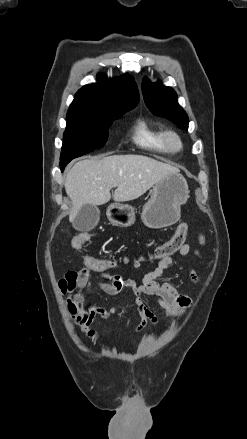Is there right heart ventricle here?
<instances>
[{"label":"right heart ventricle","instance_id":"e07e8e85","mask_svg":"<svg viewBox=\"0 0 247 439\" xmlns=\"http://www.w3.org/2000/svg\"><path fill=\"white\" fill-rule=\"evenodd\" d=\"M164 131L145 118H138L132 129V141L139 147L167 153L163 140Z\"/></svg>","mask_w":247,"mask_h":439}]
</instances>
